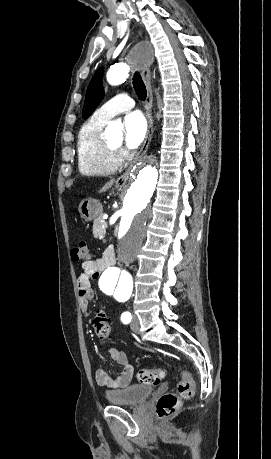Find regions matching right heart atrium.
I'll list each match as a JSON object with an SVG mask.
<instances>
[{"label":"right heart atrium","instance_id":"1","mask_svg":"<svg viewBox=\"0 0 271 459\" xmlns=\"http://www.w3.org/2000/svg\"><path fill=\"white\" fill-rule=\"evenodd\" d=\"M120 154H121V155H125V152L122 151Z\"/></svg>","mask_w":271,"mask_h":459}]
</instances>
